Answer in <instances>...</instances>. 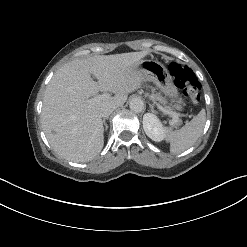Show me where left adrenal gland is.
<instances>
[{
    "label": "left adrenal gland",
    "instance_id": "a2214340",
    "mask_svg": "<svg viewBox=\"0 0 247 247\" xmlns=\"http://www.w3.org/2000/svg\"><path fill=\"white\" fill-rule=\"evenodd\" d=\"M151 111L154 112V107L153 105L150 104Z\"/></svg>",
    "mask_w": 247,
    "mask_h": 247
}]
</instances>
